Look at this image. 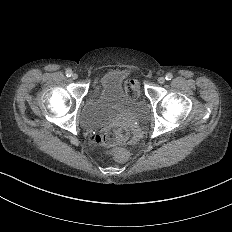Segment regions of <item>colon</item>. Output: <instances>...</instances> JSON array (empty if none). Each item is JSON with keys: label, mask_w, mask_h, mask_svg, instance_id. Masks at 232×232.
<instances>
[{"label": "colon", "mask_w": 232, "mask_h": 232, "mask_svg": "<svg viewBox=\"0 0 232 232\" xmlns=\"http://www.w3.org/2000/svg\"><path fill=\"white\" fill-rule=\"evenodd\" d=\"M138 83L134 79H126L123 94L133 98L137 94ZM137 139V129L128 120H121L112 125L109 130L100 131L95 137V144L104 152L113 151L116 146H125Z\"/></svg>", "instance_id": "1"}]
</instances>
